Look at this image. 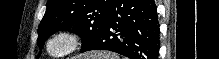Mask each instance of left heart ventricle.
I'll return each instance as SVG.
<instances>
[{
	"label": "left heart ventricle",
	"mask_w": 219,
	"mask_h": 59,
	"mask_svg": "<svg viewBox=\"0 0 219 59\" xmlns=\"http://www.w3.org/2000/svg\"><path fill=\"white\" fill-rule=\"evenodd\" d=\"M64 47H65V43L61 40L54 42V44L52 45V49L54 51H61L63 50Z\"/></svg>",
	"instance_id": "obj_1"
}]
</instances>
